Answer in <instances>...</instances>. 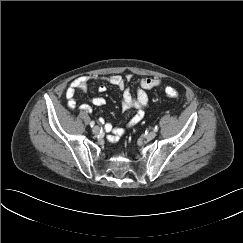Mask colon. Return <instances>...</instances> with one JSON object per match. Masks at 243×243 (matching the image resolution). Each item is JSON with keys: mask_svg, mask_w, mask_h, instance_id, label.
<instances>
[{"mask_svg": "<svg viewBox=\"0 0 243 243\" xmlns=\"http://www.w3.org/2000/svg\"><path fill=\"white\" fill-rule=\"evenodd\" d=\"M165 92H166L167 96H169L170 98H177L179 96L178 91L172 87H167L165 89Z\"/></svg>", "mask_w": 243, "mask_h": 243, "instance_id": "colon-1", "label": "colon"}]
</instances>
